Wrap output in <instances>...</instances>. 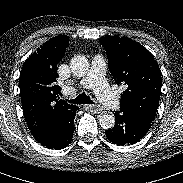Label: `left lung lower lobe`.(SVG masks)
Here are the masks:
<instances>
[{
	"instance_id": "1",
	"label": "left lung lower lobe",
	"mask_w": 183,
	"mask_h": 183,
	"mask_svg": "<svg viewBox=\"0 0 183 183\" xmlns=\"http://www.w3.org/2000/svg\"><path fill=\"white\" fill-rule=\"evenodd\" d=\"M116 123L105 131L107 138L114 144L126 145L140 141L151 127V121L126 110L115 111Z\"/></svg>"
}]
</instances>
